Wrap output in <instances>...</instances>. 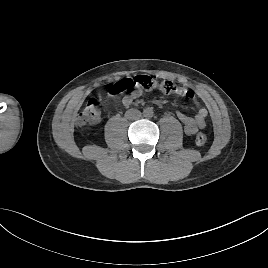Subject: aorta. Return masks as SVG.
<instances>
[{
  "label": "aorta",
  "instance_id": "aorta-1",
  "mask_svg": "<svg viewBox=\"0 0 268 268\" xmlns=\"http://www.w3.org/2000/svg\"><path fill=\"white\" fill-rule=\"evenodd\" d=\"M143 114L146 118H151L153 116V110L152 108H146L143 111Z\"/></svg>",
  "mask_w": 268,
  "mask_h": 268
}]
</instances>
